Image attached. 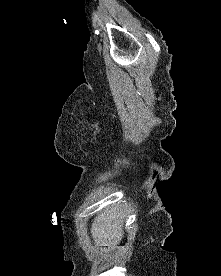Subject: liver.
Returning <instances> with one entry per match:
<instances>
[{
	"label": "liver",
	"instance_id": "6515ba94",
	"mask_svg": "<svg viewBox=\"0 0 221 276\" xmlns=\"http://www.w3.org/2000/svg\"><path fill=\"white\" fill-rule=\"evenodd\" d=\"M125 213L118 205H112L99 213L93 220L91 234L95 244L109 246L117 245L123 238Z\"/></svg>",
	"mask_w": 221,
	"mask_h": 276
}]
</instances>
